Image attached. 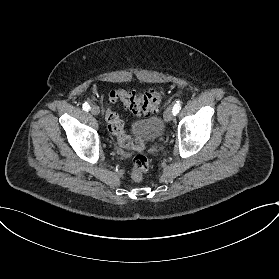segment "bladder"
<instances>
[{
	"label": "bladder",
	"instance_id": "obj_1",
	"mask_svg": "<svg viewBox=\"0 0 279 279\" xmlns=\"http://www.w3.org/2000/svg\"><path fill=\"white\" fill-rule=\"evenodd\" d=\"M164 132L165 125L160 117L135 120L130 127V133L134 138L149 143L161 139Z\"/></svg>",
	"mask_w": 279,
	"mask_h": 279
}]
</instances>
